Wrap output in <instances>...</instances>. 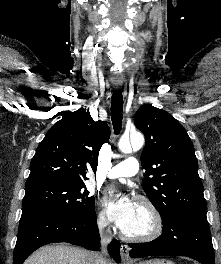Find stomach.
Returning a JSON list of instances; mask_svg holds the SVG:
<instances>
[{
  "instance_id": "obj_1",
  "label": "stomach",
  "mask_w": 221,
  "mask_h": 264,
  "mask_svg": "<svg viewBox=\"0 0 221 264\" xmlns=\"http://www.w3.org/2000/svg\"><path fill=\"white\" fill-rule=\"evenodd\" d=\"M139 264H175V263L169 260H165V259H152V260L141 262Z\"/></svg>"
}]
</instances>
